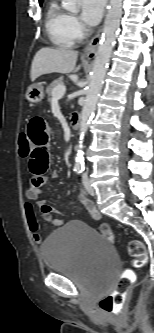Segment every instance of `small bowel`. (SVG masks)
I'll return each instance as SVG.
<instances>
[{"label": "small bowel", "mask_w": 154, "mask_h": 333, "mask_svg": "<svg viewBox=\"0 0 154 333\" xmlns=\"http://www.w3.org/2000/svg\"><path fill=\"white\" fill-rule=\"evenodd\" d=\"M26 134L32 143V151L28 157L32 179L26 191V197L29 201H36L42 218L46 222L55 226H61L64 224V221L58 216H61L62 213L50 206L45 200L40 199L42 187L46 184L48 179L57 178L59 176V172L56 170L48 174L50 167V127L42 118L34 117L28 123ZM79 199L94 220L101 218L100 212L92 201L84 195H80ZM25 213L34 241L37 244L43 243V238L39 233V225L35 217L34 208L30 202L25 204Z\"/></svg>", "instance_id": "obj_1"}]
</instances>
